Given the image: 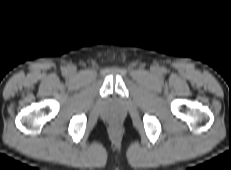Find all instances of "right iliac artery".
<instances>
[{"label":"right iliac artery","mask_w":231,"mask_h":170,"mask_svg":"<svg viewBox=\"0 0 231 170\" xmlns=\"http://www.w3.org/2000/svg\"><path fill=\"white\" fill-rule=\"evenodd\" d=\"M67 71V69L66 68H63V72H66Z\"/></svg>","instance_id":"right-iliac-artery-1"}]
</instances>
